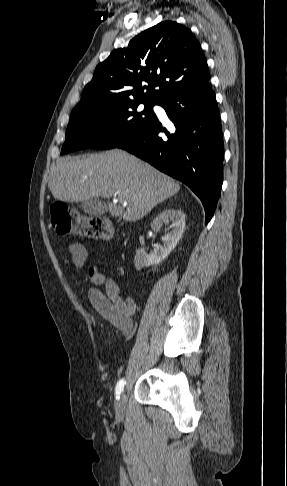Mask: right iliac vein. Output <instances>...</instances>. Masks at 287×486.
Returning <instances> with one entry per match:
<instances>
[{"label":"right iliac vein","instance_id":"1","mask_svg":"<svg viewBox=\"0 0 287 486\" xmlns=\"http://www.w3.org/2000/svg\"><path fill=\"white\" fill-rule=\"evenodd\" d=\"M115 407H116L117 413H119V414L120 413H123V411L125 409V397H124V393H122L121 395H119L118 400L115 403Z\"/></svg>","mask_w":287,"mask_h":486}]
</instances>
